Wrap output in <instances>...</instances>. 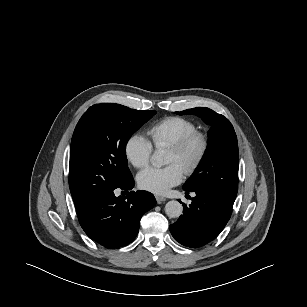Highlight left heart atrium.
I'll return each instance as SVG.
<instances>
[{"mask_svg":"<svg viewBox=\"0 0 307 307\" xmlns=\"http://www.w3.org/2000/svg\"><path fill=\"white\" fill-rule=\"evenodd\" d=\"M183 179V169L177 164L163 168L148 167L137 176L140 188L155 193L164 194Z\"/></svg>","mask_w":307,"mask_h":307,"instance_id":"39dd6f15","label":"left heart atrium"}]
</instances>
